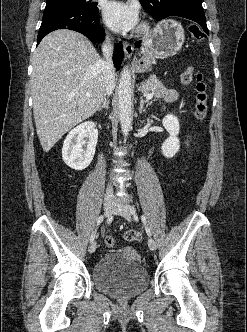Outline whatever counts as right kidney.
I'll return each mask as SVG.
<instances>
[{"mask_svg": "<svg viewBox=\"0 0 247 332\" xmlns=\"http://www.w3.org/2000/svg\"><path fill=\"white\" fill-rule=\"evenodd\" d=\"M87 137V143L84 138ZM98 130L94 122H84L69 132L62 148L63 161L72 169L83 170L89 166L95 154ZM87 144L85 147L84 145Z\"/></svg>", "mask_w": 247, "mask_h": 332, "instance_id": "1", "label": "right kidney"}]
</instances>
